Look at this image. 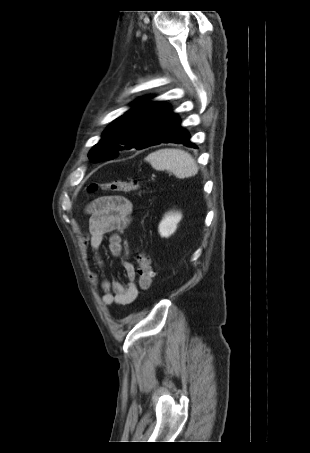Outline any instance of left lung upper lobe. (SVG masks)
<instances>
[{"instance_id":"obj_1","label":"left lung upper lobe","mask_w":310,"mask_h":453,"mask_svg":"<svg viewBox=\"0 0 310 453\" xmlns=\"http://www.w3.org/2000/svg\"><path fill=\"white\" fill-rule=\"evenodd\" d=\"M149 99L151 97L138 99L135 107L110 124L89 153L92 161L114 158L123 148L143 149L164 138L175 114L170 105L147 102Z\"/></svg>"}]
</instances>
